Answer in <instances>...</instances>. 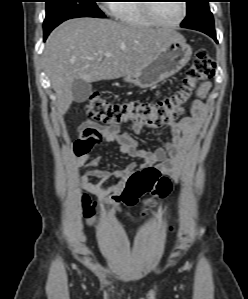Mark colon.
I'll return each mask as SVG.
<instances>
[{"mask_svg": "<svg viewBox=\"0 0 248 299\" xmlns=\"http://www.w3.org/2000/svg\"><path fill=\"white\" fill-rule=\"evenodd\" d=\"M215 62L205 50L196 53L190 64L180 88L172 95L156 101L130 100L123 102L108 101L99 94L88 97L85 110L93 119L103 123H122L142 121L160 126L176 120L183 114L186 106L201 83L215 75ZM171 190V182L163 177L159 170L149 166L133 172L123 184L120 199L127 206H133L144 194L150 197L144 201L145 214L160 199L165 198ZM85 215H91V206L86 205Z\"/></svg>", "mask_w": 248, "mask_h": 299, "instance_id": "1", "label": "colon"}]
</instances>
